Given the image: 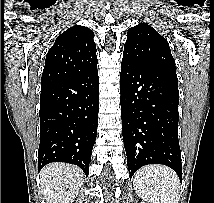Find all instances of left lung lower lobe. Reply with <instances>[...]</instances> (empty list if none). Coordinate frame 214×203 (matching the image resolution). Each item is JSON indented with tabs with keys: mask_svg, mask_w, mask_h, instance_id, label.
I'll return each mask as SVG.
<instances>
[{
	"mask_svg": "<svg viewBox=\"0 0 214 203\" xmlns=\"http://www.w3.org/2000/svg\"><path fill=\"white\" fill-rule=\"evenodd\" d=\"M120 93L130 177L142 166L163 164L182 181L177 76L123 55Z\"/></svg>",
	"mask_w": 214,
	"mask_h": 203,
	"instance_id": "1",
	"label": "left lung lower lobe"
}]
</instances>
